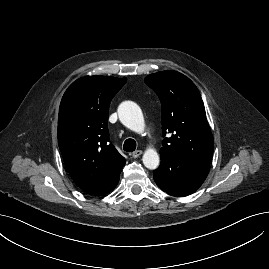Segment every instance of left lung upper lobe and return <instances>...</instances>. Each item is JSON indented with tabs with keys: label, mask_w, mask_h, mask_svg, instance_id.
Instances as JSON below:
<instances>
[{
	"label": "left lung upper lobe",
	"mask_w": 269,
	"mask_h": 269,
	"mask_svg": "<svg viewBox=\"0 0 269 269\" xmlns=\"http://www.w3.org/2000/svg\"><path fill=\"white\" fill-rule=\"evenodd\" d=\"M144 82L162 104L163 140L160 152L173 153L207 164L213 155V136L205 108L195 84L176 71L148 75Z\"/></svg>",
	"instance_id": "left-lung-upper-lobe-1"
}]
</instances>
